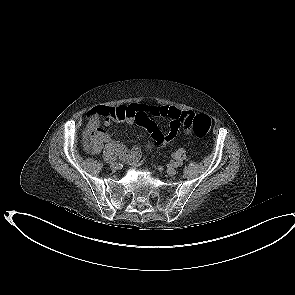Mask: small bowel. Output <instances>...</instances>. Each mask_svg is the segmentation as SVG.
Listing matches in <instances>:
<instances>
[{
    "label": "small bowel",
    "instance_id": "obj_1",
    "mask_svg": "<svg viewBox=\"0 0 295 295\" xmlns=\"http://www.w3.org/2000/svg\"><path fill=\"white\" fill-rule=\"evenodd\" d=\"M190 111H181L169 106H151L147 104L131 103L117 107L100 106L87 113L89 128L93 131L88 151L97 154L103 144L114 150L117 155L130 164H136L141 158V149L132 147L127 149L122 143L114 141L110 135L100 127L99 118L104 119V125L113 122H125L128 125L138 124L144 127L151 135V140L157 142V147L171 144L180 133L182 124L181 115H191ZM155 118L168 121V131L163 132Z\"/></svg>",
    "mask_w": 295,
    "mask_h": 295
}]
</instances>
